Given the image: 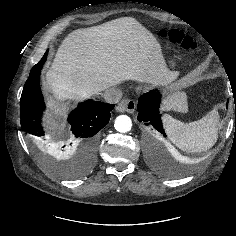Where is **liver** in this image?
Returning <instances> with one entry per match:
<instances>
[{
  "mask_svg": "<svg viewBox=\"0 0 236 236\" xmlns=\"http://www.w3.org/2000/svg\"><path fill=\"white\" fill-rule=\"evenodd\" d=\"M173 79L157 39L132 17L68 34L46 73L58 102L80 101L125 80L163 86ZM164 103L167 109L187 110L184 94L168 96Z\"/></svg>",
  "mask_w": 236,
  "mask_h": 236,
  "instance_id": "1",
  "label": "liver"
}]
</instances>
